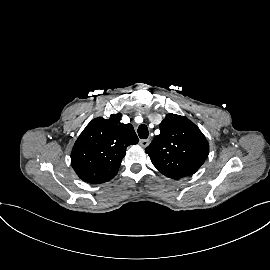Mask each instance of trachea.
I'll return each mask as SVG.
<instances>
[{"label": "trachea", "mask_w": 270, "mask_h": 270, "mask_svg": "<svg viewBox=\"0 0 270 270\" xmlns=\"http://www.w3.org/2000/svg\"><path fill=\"white\" fill-rule=\"evenodd\" d=\"M138 135L141 139H147L149 131L146 125L142 124L138 127Z\"/></svg>", "instance_id": "obj_1"}]
</instances>
